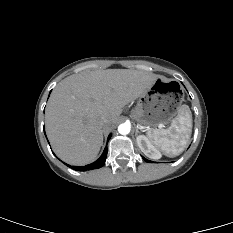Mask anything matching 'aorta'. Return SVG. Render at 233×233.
I'll list each match as a JSON object with an SVG mask.
<instances>
[{"mask_svg": "<svg viewBox=\"0 0 233 233\" xmlns=\"http://www.w3.org/2000/svg\"><path fill=\"white\" fill-rule=\"evenodd\" d=\"M130 125L127 124V123H123V124H120L119 127H118V132L121 134V135H126L130 132Z\"/></svg>", "mask_w": 233, "mask_h": 233, "instance_id": "1", "label": "aorta"}]
</instances>
